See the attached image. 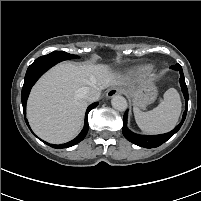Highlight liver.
<instances>
[{
  "label": "liver",
  "mask_w": 201,
  "mask_h": 201,
  "mask_svg": "<svg viewBox=\"0 0 201 201\" xmlns=\"http://www.w3.org/2000/svg\"><path fill=\"white\" fill-rule=\"evenodd\" d=\"M121 81L105 64L63 62L50 69L32 88L27 118L43 140L60 144L81 130L88 101L86 87L103 90Z\"/></svg>",
  "instance_id": "6515ba94"
}]
</instances>
